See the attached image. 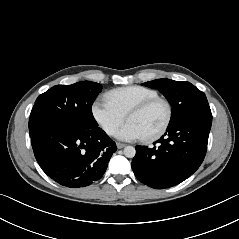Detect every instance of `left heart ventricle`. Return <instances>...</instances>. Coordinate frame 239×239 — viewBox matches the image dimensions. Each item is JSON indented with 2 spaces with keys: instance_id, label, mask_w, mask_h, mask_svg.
Segmentation results:
<instances>
[{
  "instance_id": "obj_1",
  "label": "left heart ventricle",
  "mask_w": 239,
  "mask_h": 239,
  "mask_svg": "<svg viewBox=\"0 0 239 239\" xmlns=\"http://www.w3.org/2000/svg\"><path fill=\"white\" fill-rule=\"evenodd\" d=\"M166 108L164 104L157 103L142 113L132 115L129 122L135 124L144 136L155 132L164 122Z\"/></svg>"
}]
</instances>
